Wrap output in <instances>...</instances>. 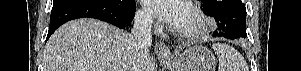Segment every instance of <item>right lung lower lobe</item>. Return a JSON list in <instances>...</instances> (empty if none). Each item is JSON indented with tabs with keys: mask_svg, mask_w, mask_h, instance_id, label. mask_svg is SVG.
Masks as SVG:
<instances>
[{
	"mask_svg": "<svg viewBox=\"0 0 301 71\" xmlns=\"http://www.w3.org/2000/svg\"><path fill=\"white\" fill-rule=\"evenodd\" d=\"M135 8V0H55L46 41L59 26L82 17L126 28L134 18Z\"/></svg>",
	"mask_w": 301,
	"mask_h": 71,
	"instance_id": "98d812e1",
	"label": "right lung lower lobe"
}]
</instances>
